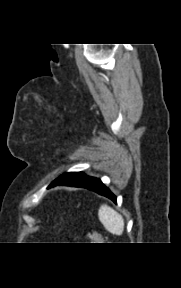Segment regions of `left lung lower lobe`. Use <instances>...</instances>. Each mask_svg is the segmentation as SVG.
Listing matches in <instances>:
<instances>
[{
  "label": "left lung lower lobe",
  "mask_w": 181,
  "mask_h": 288,
  "mask_svg": "<svg viewBox=\"0 0 181 288\" xmlns=\"http://www.w3.org/2000/svg\"><path fill=\"white\" fill-rule=\"evenodd\" d=\"M57 185H61V184L57 183L56 181H53L50 184L49 188L57 186ZM69 186L82 187V188L92 190L100 195H103L111 199L113 202L116 203V196L101 182L100 179H97L95 177H87L84 180L76 184L69 185Z\"/></svg>",
  "instance_id": "1"
}]
</instances>
